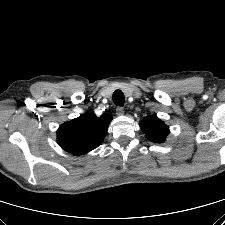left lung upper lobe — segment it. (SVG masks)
<instances>
[{
  "instance_id": "obj_1",
  "label": "left lung upper lobe",
  "mask_w": 225,
  "mask_h": 225,
  "mask_svg": "<svg viewBox=\"0 0 225 225\" xmlns=\"http://www.w3.org/2000/svg\"><path fill=\"white\" fill-rule=\"evenodd\" d=\"M141 129L150 141L156 143L163 142L169 133L168 127L156 115L145 118Z\"/></svg>"
}]
</instances>
